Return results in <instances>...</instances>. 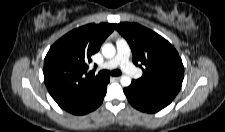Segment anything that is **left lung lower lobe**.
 Instances as JSON below:
<instances>
[{
	"label": "left lung lower lobe",
	"instance_id": "1",
	"mask_svg": "<svg viewBox=\"0 0 225 132\" xmlns=\"http://www.w3.org/2000/svg\"><path fill=\"white\" fill-rule=\"evenodd\" d=\"M124 93L133 107L147 113L160 111L177 95L169 91L147 89L133 81L129 87L124 88Z\"/></svg>",
	"mask_w": 225,
	"mask_h": 132
}]
</instances>
